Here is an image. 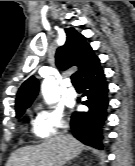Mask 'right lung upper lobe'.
I'll use <instances>...</instances> for the list:
<instances>
[{
  "instance_id": "right-lung-upper-lobe-1",
  "label": "right lung upper lobe",
  "mask_w": 135,
  "mask_h": 166,
  "mask_svg": "<svg viewBox=\"0 0 135 166\" xmlns=\"http://www.w3.org/2000/svg\"><path fill=\"white\" fill-rule=\"evenodd\" d=\"M66 42L56 51V65L59 69L65 70L72 66H77L78 76L95 64L99 58L94 55L91 46L86 43L85 37L74 28H66ZM39 90V83L35 77L28 78L19 88L16 97V110L30 106Z\"/></svg>"
}]
</instances>
